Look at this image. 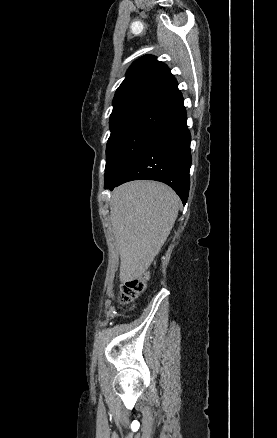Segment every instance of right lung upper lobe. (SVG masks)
<instances>
[{"label": "right lung upper lobe", "instance_id": "cb5924a9", "mask_svg": "<svg viewBox=\"0 0 277 438\" xmlns=\"http://www.w3.org/2000/svg\"><path fill=\"white\" fill-rule=\"evenodd\" d=\"M182 100L169 68L154 56H143L128 69L113 99L111 117L168 111Z\"/></svg>", "mask_w": 277, "mask_h": 438}]
</instances>
